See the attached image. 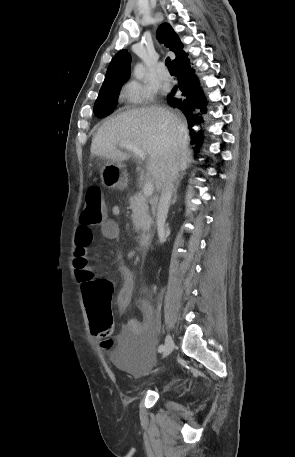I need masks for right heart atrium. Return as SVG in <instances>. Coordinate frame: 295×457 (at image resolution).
<instances>
[{
    "instance_id": "right-heart-atrium-1",
    "label": "right heart atrium",
    "mask_w": 295,
    "mask_h": 457,
    "mask_svg": "<svg viewBox=\"0 0 295 457\" xmlns=\"http://www.w3.org/2000/svg\"><path fill=\"white\" fill-rule=\"evenodd\" d=\"M155 91L137 82L127 83L122 90V98L129 105H142L153 100Z\"/></svg>"
}]
</instances>
